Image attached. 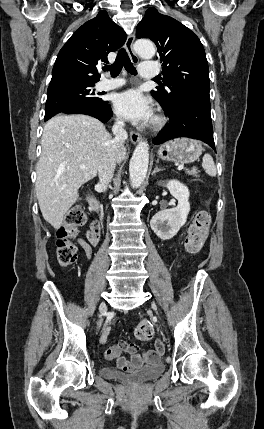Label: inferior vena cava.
<instances>
[{
	"label": "inferior vena cava",
	"instance_id": "inferior-vena-cava-1",
	"mask_svg": "<svg viewBox=\"0 0 264 429\" xmlns=\"http://www.w3.org/2000/svg\"><path fill=\"white\" fill-rule=\"evenodd\" d=\"M112 132L114 138L108 143V147L102 155L98 167L99 181L104 191L113 178L118 152L123 147V143L128 137L125 130V123L120 119L116 120Z\"/></svg>",
	"mask_w": 264,
	"mask_h": 429
}]
</instances>
